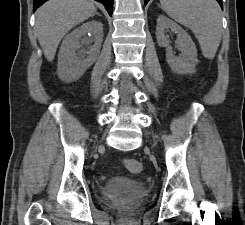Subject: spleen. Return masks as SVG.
<instances>
[{
    "label": "spleen",
    "instance_id": "1",
    "mask_svg": "<svg viewBox=\"0 0 245 225\" xmlns=\"http://www.w3.org/2000/svg\"><path fill=\"white\" fill-rule=\"evenodd\" d=\"M169 17L192 30L202 54L213 59L221 42L222 16L216 0H160Z\"/></svg>",
    "mask_w": 245,
    "mask_h": 225
}]
</instances>
